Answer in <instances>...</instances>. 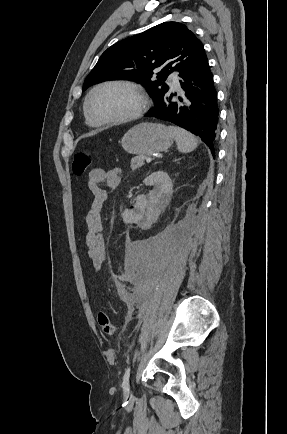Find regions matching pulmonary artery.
Listing matches in <instances>:
<instances>
[{
	"label": "pulmonary artery",
	"mask_w": 287,
	"mask_h": 434,
	"mask_svg": "<svg viewBox=\"0 0 287 434\" xmlns=\"http://www.w3.org/2000/svg\"><path fill=\"white\" fill-rule=\"evenodd\" d=\"M168 81L174 89H180V83H179L177 75L171 74L168 78Z\"/></svg>",
	"instance_id": "e3ab8cb5"
}]
</instances>
